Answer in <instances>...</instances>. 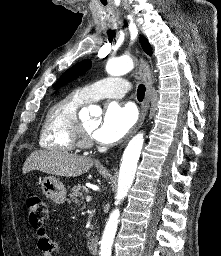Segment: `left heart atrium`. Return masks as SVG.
Instances as JSON below:
<instances>
[{
    "label": "left heart atrium",
    "instance_id": "1",
    "mask_svg": "<svg viewBox=\"0 0 221 256\" xmlns=\"http://www.w3.org/2000/svg\"><path fill=\"white\" fill-rule=\"evenodd\" d=\"M135 121L133 107L112 102L106 107L103 120L93 132V137L102 143H115L131 129Z\"/></svg>",
    "mask_w": 221,
    "mask_h": 256
}]
</instances>
